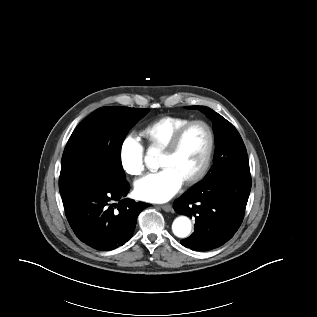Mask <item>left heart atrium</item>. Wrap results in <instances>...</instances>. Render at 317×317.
Instances as JSON below:
<instances>
[{
	"mask_svg": "<svg viewBox=\"0 0 317 317\" xmlns=\"http://www.w3.org/2000/svg\"><path fill=\"white\" fill-rule=\"evenodd\" d=\"M183 182L172 168L166 167L138 180L135 183V192L144 201L162 203L171 199Z\"/></svg>",
	"mask_w": 317,
	"mask_h": 317,
	"instance_id": "left-heart-atrium-1",
	"label": "left heart atrium"
}]
</instances>
